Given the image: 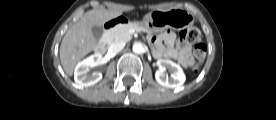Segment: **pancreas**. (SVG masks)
Instances as JSON below:
<instances>
[{
	"label": "pancreas",
	"instance_id": "cf45deb5",
	"mask_svg": "<svg viewBox=\"0 0 276 120\" xmlns=\"http://www.w3.org/2000/svg\"><path fill=\"white\" fill-rule=\"evenodd\" d=\"M136 29L142 32H148V30L138 23H129L126 25H117L113 29L109 30L107 33V41L109 44L114 42H127L132 38V35L129 33L130 29Z\"/></svg>",
	"mask_w": 276,
	"mask_h": 120
}]
</instances>
